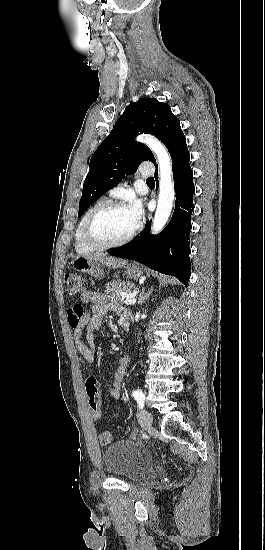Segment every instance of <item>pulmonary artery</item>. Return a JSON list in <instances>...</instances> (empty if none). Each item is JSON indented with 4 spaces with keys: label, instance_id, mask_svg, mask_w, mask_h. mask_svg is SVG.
Masks as SVG:
<instances>
[{
    "label": "pulmonary artery",
    "instance_id": "obj_1",
    "mask_svg": "<svg viewBox=\"0 0 265 550\" xmlns=\"http://www.w3.org/2000/svg\"><path fill=\"white\" fill-rule=\"evenodd\" d=\"M140 173H141L142 176H148L151 172H150V170H148V169L142 168V169L140 170Z\"/></svg>",
    "mask_w": 265,
    "mask_h": 550
}]
</instances>
